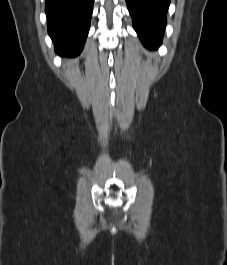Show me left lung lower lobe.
Wrapping results in <instances>:
<instances>
[{"mask_svg":"<svg viewBox=\"0 0 227 265\" xmlns=\"http://www.w3.org/2000/svg\"><path fill=\"white\" fill-rule=\"evenodd\" d=\"M133 28L144 46L157 49L162 43L170 0H126Z\"/></svg>","mask_w":227,"mask_h":265,"instance_id":"0a47b994","label":"left lung lower lobe"}]
</instances>
